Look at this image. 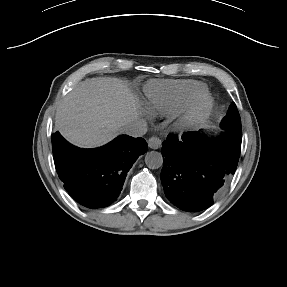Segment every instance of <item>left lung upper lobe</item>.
I'll return each instance as SVG.
<instances>
[{
	"instance_id": "obj_1",
	"label": "left lung upper lobe",
	"mask_w": 287,
	"mask_h": 287,
	"mask_svg": "<svg viewBox=\"0 0 287 287\" xmlns=\"http://www.w3.org/2000/svg\"><path fill=\"white\" fill-rule=\"evenodd\" d=\"M224 128H241V120L235 103H232L228 109L227 115L223 119Z\"/></svg>"
}]
</instances>
